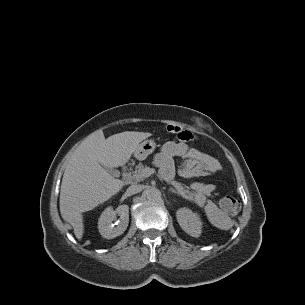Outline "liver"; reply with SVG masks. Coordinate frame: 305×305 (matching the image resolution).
<instances>
[{
	"mask_svg": "<svg viewBox=\"0 0 305 305\" xmlns=\"http://www.w3.org/2000/svg\"><path fill=\"white\" fill-rule=\"evenodd\" d=\"M152 134L125 131L105 139L103 131L91 133L73 152L64 171L60 213L71 224L77 239L84 233L82 213L117 194L124 182L105 169L124 165L136 147Z\"/></svg>",
	"mask_w": 305,
	"mask_h": 305,
	"instance_id": "1",
	"label": "liver"
}]
</instances>
